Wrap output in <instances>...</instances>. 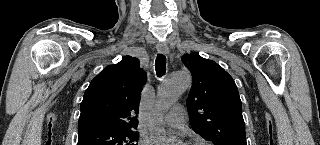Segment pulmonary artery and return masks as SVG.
Returning <instances> with one entry per match:
<instances>
[{
    "label": "pulmonary artery",
    "mask_w": 320,
    "mask_h": 145,
    "mask_svg": "<svg viewBox=\"0 0 320 145\" xmlns=\"http://www.w3.org/2000/svg\"><path fill=\"white\" fill-rule=\"evenodd\" d=\"M186 116L183 106H175L168 114L163 117V122L172 128H180L185 124Z\"/></svg>",
    "instance_id": "obj_1"
}]
</instances>
